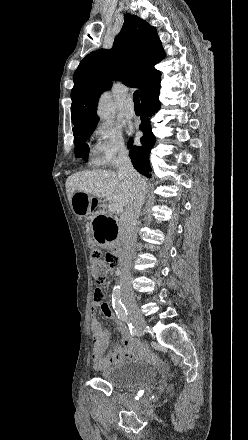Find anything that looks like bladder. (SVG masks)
<instances>
[{"label": "bladder", "instance_id": "31cf9c89", "mask_svg": "<svg viewBox=\"0 0 248 440\" xmlns=\"http://www.w3.org/2000/svg\"><path fill=\"white\" fill-rule=\"evenodd\" d=\"M154 370L138 360H124L102 369L99 378L115 388L143 386L154 379Z\"/></svg>", "mask_w": 248, "mask_h": 440}]
</instances>
